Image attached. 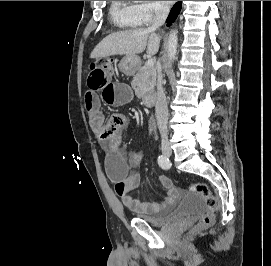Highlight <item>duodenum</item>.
<instances>
[{"label": "duodenum", "mask_w": 271, "mask_h": 266, "mask_svg": "<svg viewBox=\"0 0 271 266\" xmlns=\"http://www.w3.org/2000/svg\"><path fill=\"white\" fill-rule=\"evenodd\" d=\"M156 95L154 93H150L144 96V101L146 104L152 105L155 103Z\"/></svg>", "instance_id": "obj_1"}]
</instances>
